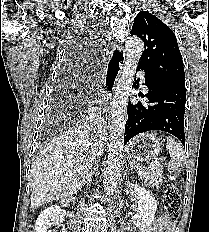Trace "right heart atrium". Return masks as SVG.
Wrapping results in <instances>:
<instances>
[{"label": "right heart atrium", "instance_id": "d8ad5b80", "mask_svg": "<svg viewBox=\"0 0 209 232\" xmlns=\"http://www.w3.org/2000/svg\"><path fill=\"white\" fill-rule=\"evenodd\" d=\"M100 115L98 113V111H96L95 109L90 110L89 112V118L92 120H97L99 119Z\"/></svg>", "mask_w": 209, "mask_h": 232}]
</instances>
